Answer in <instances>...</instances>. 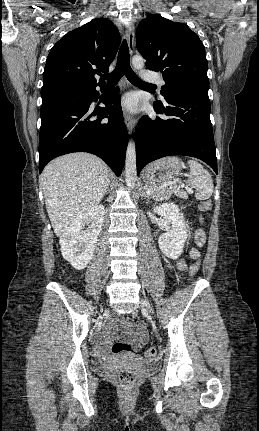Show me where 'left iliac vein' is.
Instances as JSON below:
<instances>
[{"label":"left iliac vein","instance_id":"obj_1","mask_svg":"<svg viewBox=\"0 0 259 431\" xmlns=\"http://www.w3.org/2000/svg\"><path fill=\"white\" fill-rule=\"evenodd\" d=\"M141 306H142L144 309L148 310L150 313H152V312H153V311H152V308H151V306H150V304H149V302H148V301H146V300H144V299H142V300H141Z\"/></svg>","mask_w":259,"mask_h":431}]
</instances>
